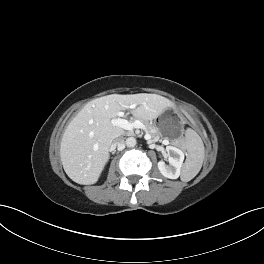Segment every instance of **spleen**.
<instances>
[{
  "label": "spleen",
  "mask_w": 264,
  "mask_h": 264,
  "mask_svg": "<svg viewBox=\"0 0 264 264\" xmlns=\"http://www.w3.org/2000/svg\"><path fill=\"white\" fill-rule=\"evenodd\" d=\"M185 148L188 156L182 168L181 179L188 182L199 173L205 157L202 139L191 128L185 132Z\"/></svg>",
  "instance_id": "obj_1"
}]
</instances>
